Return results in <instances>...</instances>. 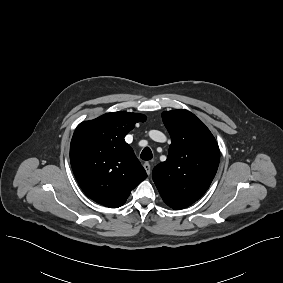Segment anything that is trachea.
I'll use <instances>...</instances> for the list:
<instances>
[{"mask_svg":"<svg viewBox=\"0 0 283 283\" xmlns=\"http://www.w3.org/2000/svg\"><path fill=\"white\" fill-rule=\"evenodd\" d=\"M140 157L141 159L146 160V161L151 160L153 157L151 149L149 147H145L143 151L141 152Z\"/></svg>","mask_w":283,"mask_h":283,"instance_id":"trachea-1","label":"trachea"}]
</instances>
